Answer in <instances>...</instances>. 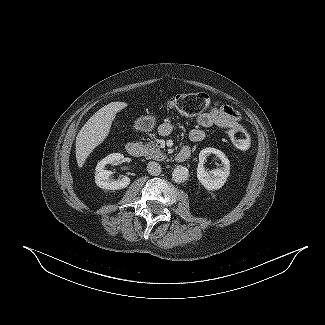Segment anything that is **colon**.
Here are the masks:
<instances>
[{
    "mask_svg": "<svg viewBox=\"0 0 325 325\" xmlns=\"http://www.w3.org/2000/svg\"><path fill=\"white\" fill-rule=\"evenodd\" d=\"M211 105V98L203 92L183 93L170 97L165 102L168 110L176 111L183 116H195L205 111ZM229 137L233 146L246 152L250 148V139L241 125L229 129Z\"/></svg>",
    "mask_w": 325,
    "mask_h": 325,
    "instance_id": "colon-1",
    "label": "colon"
}]
</instances>
